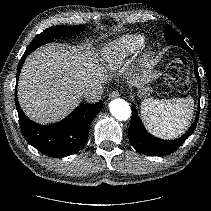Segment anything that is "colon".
I'll use <instances>...</instances> for the list:
<instances>
[{
	"label": "colon",
	"mask_w": 211,
	"mask_h": 211,
	"mask_svg": "<svg viewBox=\"0 0 211 211\" xmlns=\"http://www.w3.org/2000/svg\"><path fill=\"white\" fill-rule=\"evenodd\" d=\"M166 81L179 92L188 91V64L183 56L179 55L171 60L167 69Z\"/></svg>",
	"instance_id": "obj_1"
}]
</instances>
